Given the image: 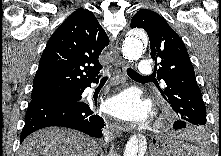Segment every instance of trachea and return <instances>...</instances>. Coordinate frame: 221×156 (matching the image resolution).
<instances>
[{
  "mask_svg": "<svg viewBox=\"0 0 221 156\" xmlns=\"http://www.w3.org/2000/svg\"><path fill=\"white\" fill-rule=\"evenodd\" d=\"M127 74L132 78H148V77H150V76H142L131 68L127 69ZM106 79H107V76H105L102 80L104 81Z\"/></svg>",
  "mask_w": 221,
  "mask_h": 156,
  "instance_id": "1",
  "label": "trachea"
}]
</instances>
